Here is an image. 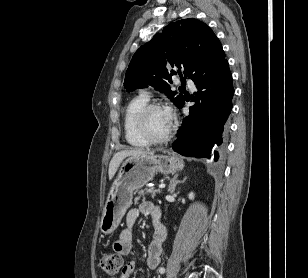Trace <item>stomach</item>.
<instances>
[{
	"label": "stomach",
	"mask_w": 308,
	"mask_h": 278,
	"mask_svg": "<svg viewBox=\"0 0 308 278\" xmlns=\"http://www.w3.org/2000/svg\"><path fill=\"white\" fill-rule=\"evenodd\" d=\"M184 162L175 155L142 154L129 156L121 165L110 188L100 221V231L112 233L132 204L135 191L153 180L156 173H175Z\"/></svg>",
	"instance_id": "obj_1"
}]
</instances>
